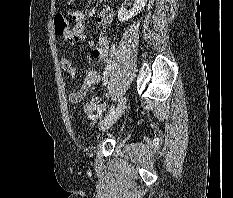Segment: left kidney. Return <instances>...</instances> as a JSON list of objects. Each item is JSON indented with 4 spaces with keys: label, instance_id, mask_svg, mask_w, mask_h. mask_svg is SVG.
<instances>
[{
    "label": "left kidney",
    "instance_id": "left-kidney-1",
    "mask_svg": "<svg viewBox=\"0 0 233 198\" xmlns=\"http://www.w3.org/2000/svg\"><path fill=\"white\" fill-rule=\"evenodd\" d=\"M148 0H135L133 8L131 10H126L125 8L121 7L118 9V20L121 22L127 21L128 19L134 17L144 6L146 5Z\"/></svg>",
    "mask_w": 233,
    "mask_h": 198
}]
</instances>
